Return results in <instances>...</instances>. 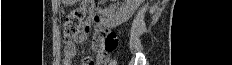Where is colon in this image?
I'll list each match as a JSON object with an SVG mask.
<instances>
[{
	"instance_id": "5ec220e1",
	"label": "colon",
	"mask_w": 232,
	"mask_h": 65,
	"mask_svg": "<svg viewBox=\"0 0 232 65\" xmlns=\"http://www.w3.org/2000/svg\"><path fill=\"white\" fill-rule=\"evenodd\" d=\"M99 1L82 0L78 6L73 9L67 16L64 24V40L70 43L81 31L88 14H90L97 6ZM118 46V36L113 32H108L105 36L96 37L93 43L95 58L89 59L91 62L105 63L110 52L114 51Z\"/></svg>"
}]
</instances>
